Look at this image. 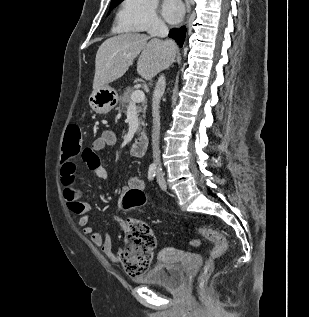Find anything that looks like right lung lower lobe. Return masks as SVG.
<instances>
[{
	"mask_svg": "<svg viewBox=\"0 0 309 317\" xmlns=\"http://www.w3.org/2000/svg\"><path fill=\"white\" fill-rule=\"evenodd\" d=\"M186 28L181 27L180 29H171L169 33V37L174 39L177 44L182 47L185 39Z\"/></svg>",
	"mask_w": 309,
	"mask_h": 317,
	"instance_id": "right-lung-lower-lobe-1",
	"label": "right lung lower lobe"
}]
</instances>
